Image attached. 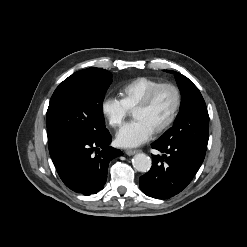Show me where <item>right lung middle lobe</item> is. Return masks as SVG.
I'll return each instance as SVG.
<instances>
[{
  "instance_id": "right-lung-middle-lobe-1",
  "label": "right lung middle lobe",
  "mask_w": 247,
  "mask_h": 247,
  "mask_svg": "<svg viewBox=\"0 0 247 247\" xmlns=\"http://www.w3.org/2000/svg\"><path fill=\"white\" fill-rule=\"evenodd\" d=\"M111 77L105 69L88 68L75 72L56 88L47 110L49 148L106 130L102 103Z\"/></svg>"
}]
</instances>
